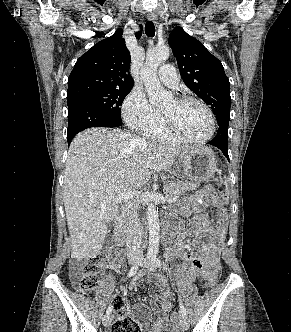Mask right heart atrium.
Masks as SVG:
<instances>
[{
	"label": "right heart atrium",
	"instance_id": "1",
	"mask_svg": "<svg viewBox=\"0 0 291 332\" xmlns=\"http://www.w3.org/2000/svg\"><path fill=\"white\" fill-rule=\"evenodd\" d=\"M122 115L130 129L144 134L154 130L162 122L159 112L139 89H133L125 98Z\"/></svg>",
	"mask_w": 291,
	"mask_h": 332
}]
</instances>
